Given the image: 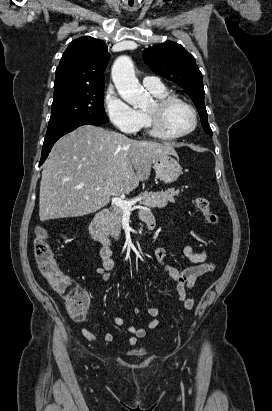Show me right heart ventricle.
Masks as SVG:
<instances>
[{"instance_id": "1", "label": "right heart ventricle", "mask_w": 272, "mask_h": 411, "mask_svg": "<svg viewBox=\"0 0 272 411\" xmlns=\"http://www.w3.org/2000/svg\"><path fill=\"white\" fill-rule=\"evenodd\" d=\"M156 98H162V97H166L169 96V92L166 90L165 87L161 88V89H148ZM142 127H147V119L145 114H142Z\"/></svg>"}]
</instances>
